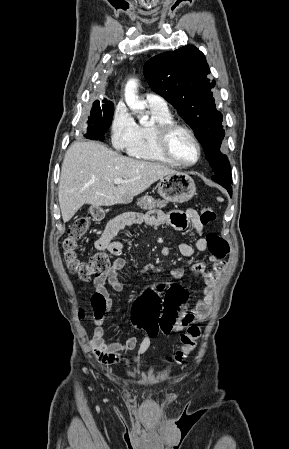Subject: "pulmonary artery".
<instances>
[{
    "instance_id": "obj_1",
    "label": "pulmonary artery",
    "mask_w": 289,
    "mask_h": 449,
    "mask_svg": "<svg viewBox=\"0 0 289 449\" xmlns=\"http://www.w3.org/2000/svg\"><path fill=\"white\" fill-rule=\"evenodd\" d=\"M145 101L149 107L157 108V109H166L167 103L166 101L159 95L153 93H147L145 95Z\"/></svg>"
}]
</instances>
